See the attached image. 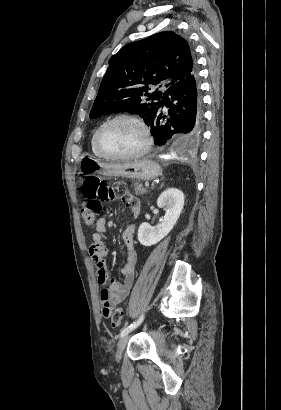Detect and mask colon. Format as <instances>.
Instances as JSON below:
<instances>
[{"mask_svg":"<svg viewBox=\"0 0 281 410\" xmlns=\"http://www.w3.org/2000/svg\"><path fill=\"white\" fill-rule=\"evenodd\" d=\"M126 189L122 184H117L110 187L106 181L99 177H88L83 182V203H82V218L85 224L91 225L96 215L101 210L100 201H108L115 198L116 195L124 196ZM124 317L122 308H117L111 317V325L113 328L121 326Z\"/></svg>","mask_w":281,"mask_h":410,"instance_id":"1","label":"colon"}]
</instances>
